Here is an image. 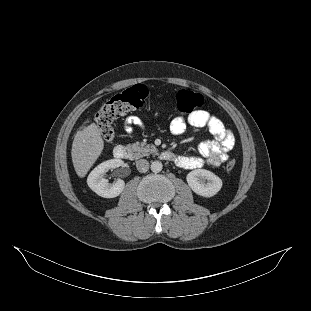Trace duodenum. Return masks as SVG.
Instances as JSON below:
<instances>
[{
  "label": "duodenum",
  "instance_id": "obj_1",
  "mask_svg": "<svg viewBox=\"0 0 311 311\" xmlns=\"http://www.w3.org/2000/svg\"><path fill=\"white\" fill-rule=\"evenodd\" d=\"M113 154L117 159H133V153L124 145H117L114 147ZM163 160L173 161L175 155L172 152L164 151L160 154Z\"/></svg>",
  "mask_w": 311,
  "mask_h": 311
}]
</instances>
